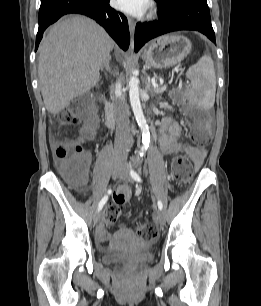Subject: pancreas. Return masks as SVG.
<instances>
[{
	"instance_id": "cf45deb5",
	"label": "pancreas",
	"mask_w": 261,
	"mask_h": 306,
	"mask_svg": "<svg viewBox=\"0 0 261 306\" xmlns=\"http://www.w3.org/2000/svg\"><path fill=\"white\" fill-rule=\"evenodd\" d=\"M166 90V86H162V87H153L152 88V92L155 94H161Z\"/></svg>"
}]
</instances>
